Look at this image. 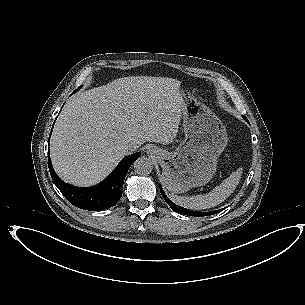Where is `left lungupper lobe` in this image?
<instances>
[{"label":"left lung upper lobe","mask_w":305,"mask_h":305,"mask_svg":"<svg viewBox=\"0 0 305 305\" xmlns=\"http://www.w3.org/2000/svg\"><path fill=\"white\" fill-rule=\"evenodd\" d=\"M176 212L180 213V214H184V215H189V216H195V217H202L203 216V212H197V211H192V210H188L182 207H176Z\"/></svg>","instance_id":"left-lung-upper-lobe-1"}]
</instances>
